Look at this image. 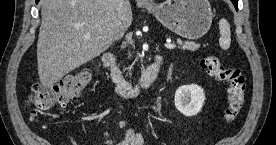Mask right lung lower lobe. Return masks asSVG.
<instances>
[{"instance_id":"right-lung-lower-lobe-1","label":"right lung lower lobe","mask_w":276,"mask_h":145,"mask_svg":"<svg viewBox=\"0 0 276 145\" xmlns=\"http://www.w3.org/2000/svg\"><path fill=\"white\" fill-rule=\"evenodd\" d=\"M39 2V0H36V3H38Z\"/></svg>"}]
</instances>
